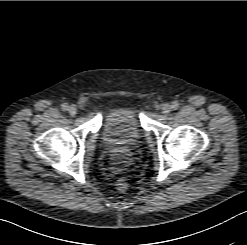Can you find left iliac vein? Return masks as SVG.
I'll use <instances>...</instances> for the list:
<instances>
[{
    "label": "left iliac vein",
    "instance_id": "4c4485c4",
    "mask_svg": "<svg viewBox=\"0 0 247 245\" xmlns=\"http://www.w3.org/2000/svg\"><path fill=\"white\" fill-rule=\"evenodd\" d=\"M171 109H172V107L168 103H165L162 105V113L164 115H168L170 113Z\"/></svg>",
    "mask_w": 247,
    "mask_h": 245
}]
</instances>
